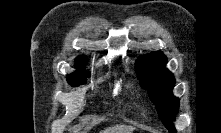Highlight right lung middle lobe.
<instances>
[{
	"instance_id": "obj_1",
	"label": "right lung middle lobe",
	"mask_w": 221,
	"mask_h": 133,
	"mask_svg": "<svg viewBox=\"0 0 221 133\" xmlns=\"http://www.w3.org/2000/svg\"><path fill=\"white\" fill-rule=\"evenodd\" d=\"M86 81V76L84 74H81V75H74V76H70L68 78V82L71 84V85H79L83 82Z\"/></svg>"
}]
</instances>
